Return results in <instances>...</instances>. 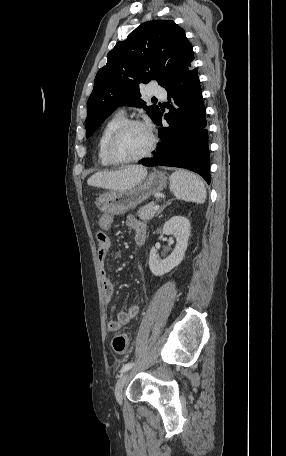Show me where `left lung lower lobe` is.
<instances>
[{"mask_svg":"<svg viewBox=\"0 0 286 456\" xmlns=\"http://www.w3.org/2000/svg\"><path fill=\"white\" fill-rule=\"evenodd\" d=\"M175 107L169 105L165 114L169 126L161 125L162 113L155 122L161 126V143L155 155L142 164L145 166L164 165L186 168L200 174L210 183V159L206 129L205 106L197 70L190 61L164 87Z\"/></svg>","mask_w":286,"mask_h":456,"instance_id":"0a47b994","label":"left lung lower lobe"}]
</instances>
